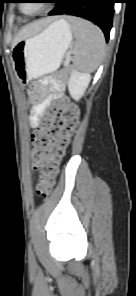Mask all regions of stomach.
<instances>
[{
	"mask_svg": "<svg viewBox=\"0 0 136 296\" xmlns=\"http://www.w3.org/2000/svg\"><path fill=\"white\" fill-rule=\"evenodd\" d=\"M71 41V26L63 19L18 41L12 48L18 76L25 82L56 71Z\"/></svg>",
	"mask_w": 136,
	"mask_h": 296,
	"instance_id": "1",
	"label": "stomach"
}]
</instances>
